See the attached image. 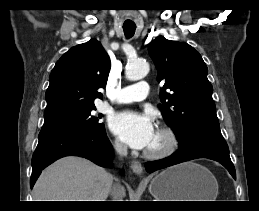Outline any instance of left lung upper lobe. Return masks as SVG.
I'll return each mask as SVG.
<instances>
[{
	"label": "left lung upper lobe",
	"mask_w": 259,
	"mask_h": 211,
	"mask_svg": "<svg viewBox=\"0 0 259 211\" xmlns=\"http://www.w3.org/2000/svg\"><path fill=\"white\" fill-rule=\"evenodd\" d=\"M148 52L163 85L159 105L167 124L174 130L179 147L199 136L224 139L212 99L213 87L201 55L185 42L157 37Z\"/></svg>",
	"instance_id": "obj_1"
}]
</instances>
